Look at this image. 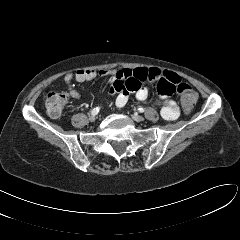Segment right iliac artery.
I'll use <instances>...</instances> for the list:
<instances>
[{
    "instance_id": "obj_1",
    "label": "right iliac artery",
    "mask_w": 240,
    "mask_h": 240,
    "mask_svg": "<svg viewBox=\"0 0 240 240\" xmlns=\"http://www.w3.org/2000/svg\"><path fill=\"white\" fill-rule=\"evenodd\" d=\"M99 110H100L99 107H96L91 110V114L96 115L99 112Z\"/></svg>"
}]
</instances>
